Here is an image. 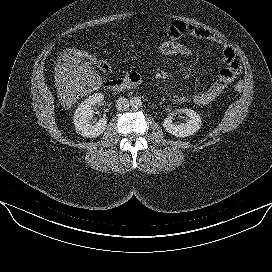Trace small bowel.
Returning <instances> with one entry per match:
<instances>
[{
	"label": "small bowel",
	"mask_w": 272,
	"mask_h": 272,
	"mask_svg": "<svg viewBox=\"0 0 272 272\" xmlns=\"http://www.w3.org/2000/svg\"><path fill=\"white\" fill-rule=\"evenodd\" d=\"M191 36L203 39L221 47L224 66L220 70L217 79L204 91L192 96L176 95L174 100L178 103L193 102L198 106H206L216 100L225 88L234 80L241 71V64L236 58L235 51L221 37L215 33L193 24L175 21L168 28V37L181 39Z\"/></svg>",
	"instance_id": "obj_1"
}]
</instances>
